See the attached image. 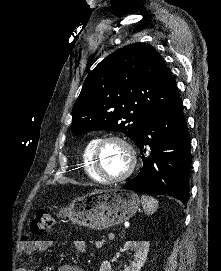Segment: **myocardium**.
<instances>
[{
    "label": "myocardium",
    "mask_w": 221,
    "mask_h": 271,
    "mask_svg": "<svg viewBox=\"0 0 221 271\" xmlns=\"http://www.w3.org/2000/svg\"><path fill=\"white\" fill-rule=\"evenodd\" d=\"M107 137L94 138V140H98L95 145H91L93 150L91 151L92 156L90 159L92 160V167L95 168L94 173L99 175L100 177H105L106 173L102 170V165L100 161V151L104 150L108 145H117V150H124L123 163L127 165V171L121 175L103 178V183L101 184H115V183H124V178H128L133 170H136L138 166L137 158L134 156L137 151L134 150V145H130L128 140H130L127 136L121 133L113 132L106 133ZM95 149V150H94Z\"/></svg>",
    "instance_id": "myocardium-1"
}]
</instances>
